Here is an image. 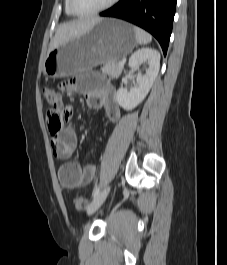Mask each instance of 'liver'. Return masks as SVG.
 Here are the masks:
<instances>
[{"label":"liver","instance_id":"1","mask_svg":"<svg viewBox=\"0 0 227 265\" xmlns=\"http://www.w3.org/2000/svg\"><path fill=\"white\" fill-rule=\"evenodd\" d=\"M100 20V18L81 19L59 25L55 37L50 44L48 52L74 38L80 37L87 33Z\"/></svg>","mask_w":227,"mask_h":265}]
</instances>
